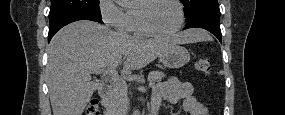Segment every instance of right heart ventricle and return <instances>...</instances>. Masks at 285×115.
<instances>
[{
	"label": "right heart ventricle",
	"instance_id": "e07e8e85",
	"mask_svg": "<svg viewBox=\"0 0 285 115\" xmlns=\"http://www.w3.org/2000/svg\"><path fill=\"white\" fill-rule=\"evenodd\" d=\"M127 31L137 36L148 35L140 25L137 8H131L127 12Z\"/></svg>",
	"mask_w": 285,
	"mask_h": 115
}]
</instances>
